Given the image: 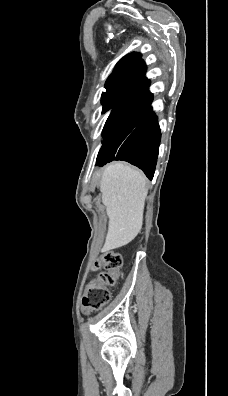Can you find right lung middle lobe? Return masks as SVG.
I'll list each match as a JSON object with an SVG mask.
<instances>
[{"label": "right lung middle lobe", "mask_w": 228, "mask_h": 396, "mask_svg": "<svg viewBox=\"0 0 228 396\" xmlns=\"http://www.w3.org/2000/svg\"><path fill=\"white\" fill-rule=\"evenodd\" d=\"M144 74L145 71H139L106 81V91L102 93L101 98L102 113L112 110L103 129V142L142 87L145 80Z\"/></svg>", "instance_id": "right-lung-middle-lobe-1"}]
</instances>
